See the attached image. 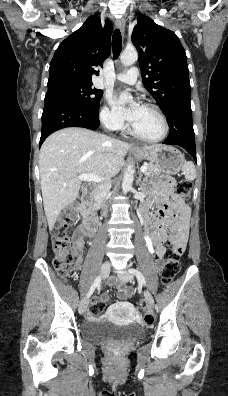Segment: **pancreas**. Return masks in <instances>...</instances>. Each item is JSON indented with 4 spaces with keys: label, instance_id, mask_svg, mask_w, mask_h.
<instances>
[{
    "label": "pancreas",
    "instance_id": "cf45deb5",
    "mask_svg": "<svg viewBox=\"0 0 228 396\" xmlns=\"http://www.w3.org/2000/svg\"><path fill=\"white\" fill-rule=\"evenodd\" d=\"M147 170L144 172L146 176L160 174V169L154 164H146Z\"/></svg>",
    "mask_w": 228,
    "mask_h": 396
}]
</instances>
